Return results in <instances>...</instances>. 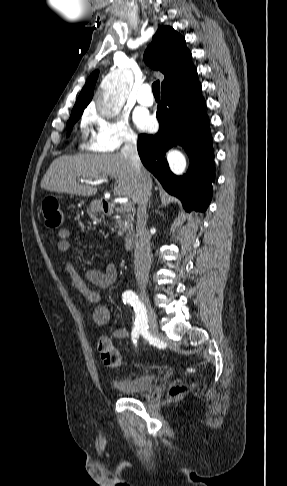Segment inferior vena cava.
Segmentation results:
<instances>
[{"instance_id": "inferior-vena-cava-1", "label": "inferior vena cava", "mask_w": 287, "mask_h": 486, "mask_svg": "<svg viewBox=\"0 0 287 486\" xmlns=\"http://www.w3.org/2000/svg\"><path fill=\"white\" fill-rule=\"evenodd\" d=\"M121 154L129 160L134 168L138 180V209L137 225L134 250L135 277L141 288H145L148 283V276L151 267V235L146 228L147 223V203L151 196L152 181L143 168L137 151V139L133 135H128Z\"/></svg>"}]
</instances>
